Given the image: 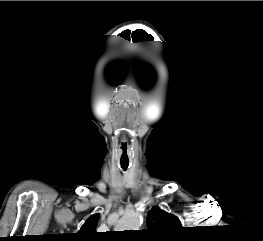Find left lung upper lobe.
Wrapping results in <instances>:
<instances>
[{"label":"left lung upper lobe","instance_id":"5c2ea615","mask_svg":"<svg viewBox=\"0 0 263 241\" xmlns=\"http://www.w3.org/2000/svg\"><path fill=\"white\" fill-rule=\"evenodd\" d=\"M147 227L151 233H156L160 238L177 239L180 236L182 225L180 220L170 213L153 207L147 214Z\"/></svg>","mask_w":263,"mask_h":241}]
</instances>
